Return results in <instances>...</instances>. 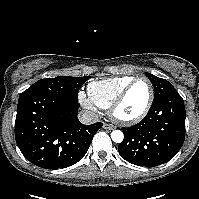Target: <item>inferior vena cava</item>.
<instances>
[{
    "instance_id": "602c4592",
    "label": "inferior vena cava",
    "mask_w": 199,
    "mask_h": 199,
    "mask_svg": "<svg viewBox=\"0 0 199 199\" xmlns=\"http://www.w3.org/2000/svg\"><path fill=\"white\" fill-rule=\"evenodd\" d=\"M79 120L82 124L89 125L98 122V115L91 111H81Z\"/></svg>"
}]
</instances>
